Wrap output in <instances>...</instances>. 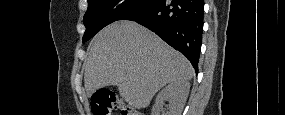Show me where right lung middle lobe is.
Wrapping results in <instances>:
<instances>
[{
    "instance_id": "right-lung-middle-lobe-1",
    "label": "right lung middle lobe",
    "mask_w": 285,
    "mask_h": 115,
    "mask_svg": "<svg viewBox=\"0 0 285 115\" xmlns=\"http://www.w3.org/2000/svg\"><path fill=\"white\" fill-rule=\"evenodd\" d=\"M154 0H88L84 15L86 31L83 42L97 34L109 23L121 20L126 15L141 9Z\"/></svg>"
}]
</instances>
